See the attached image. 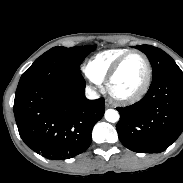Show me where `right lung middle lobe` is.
<instances>
[{
    "label": "right lung middle lobe",
    "instance_id": "right-lung-middle-lobe-1",
    "mask_svg": "<svg viewBox=\"0 0 183 183\" xmlns=\"http://www.w3.org/2000/svg\"><path fill=\"white\" fill-rule=\"evenodd\" d=\"M95 49L93 45L66 48L56 46L38 57L20 79L53 77L65 73H80L82 61Z\"/></svg>",
    "mask_w": 183,
    "mask_h": 183
}]
</instances>
